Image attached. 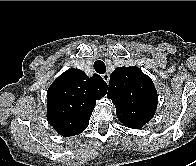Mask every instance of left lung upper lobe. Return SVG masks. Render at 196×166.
Masks as SVG:
<instances>
[{
	"label": "left lung upper lobe",
	"instance_id": "left-lung-upper-lobe-1",
	"mask_svg": "<svg viewBox=\"0 0 196 166\" xmlns=\"http://www.w3.org/2000/svg\"><path fill=\"white\" fill-rule=\"evenodd\" d=\"M107 97L115 104L120 122L133 129L142 128L152 119L158 102L152 80L135 66L115 69Z\"/></svg>",
	"mask_w": 196,
	"mask_h": 166
}]
</instances>
